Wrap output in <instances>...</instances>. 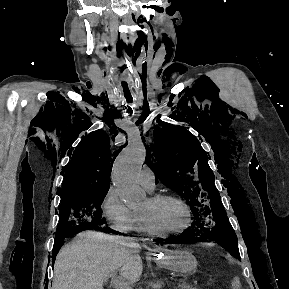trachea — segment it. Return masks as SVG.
<instances>
[{
    "label": "trachea",
    "mask_w": 289,
    "mask_h": 289,
    "mask_svg": "<svg viewBox=\"0 0 289 289\" xmlns=\"http://www.w3.org/2000/svg\"><path fill=\"white\" fill-rule=\"evenodd\" d=\"M127 111H128V112H131V109H128Z\"/></svg>",
    "instance_id": "trachea-1"
}]
</instances>
